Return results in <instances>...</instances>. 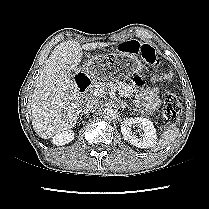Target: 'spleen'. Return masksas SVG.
Masks as SVG:
<instances>
[{
	"mask_svg": "<svg viewBox=\"0 0 209 209\" xmlns=\"http://www.w3.org/2000/svg\"><path fill=\"white\" fill-rule=\"evenodd\" d=\"M179 135V128L170 125L161 134L159 141L153 146L154 151H158L170 145Z\"/></svg>",
	"mask_w": 209,
	"mask_h": 209,
	"instance_id": "1",
	"label": "spleen"
}]
</instances>
